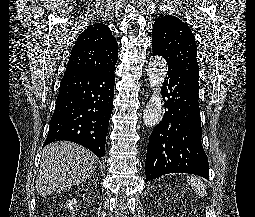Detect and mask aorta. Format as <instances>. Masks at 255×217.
<instances>
[{
    "label": "aorta",
    "instance_id": "1",
    "mask_svg": "<svg viewBox=\"0 0 255 217\" xmlns=\"http://www.w3.org/2000/svg\"><path fill=\"white\" fill-rule=\"evenodd\" d=\"M167 63L157 57L150 61L147 74L149 77L152 96L146 105L143 114V123L147 127L156 126L163 116V102L161 98V88L167 74Z\"/></svg>",
    "mask_w": 255,
    "mask_h": 217
}]
</instances>
